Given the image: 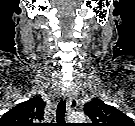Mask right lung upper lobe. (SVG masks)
Here are the masks:
<instances>
[{
  "label": "right lung upper lobe",
  "instance_id": "1",
  "mask_svg": "<svg viewBox=\"0 0 135 126\" xmlns=\"http://www.w3.org/2000/svg\"><path fill=\"white\" fill-rule=\"evenodd\" d=\"M45 105L40 96L19 103L0 118V126H39Z\"/></svg>",
  "mask_w": 135,
  "mask_h": 126
}]
</instances>
